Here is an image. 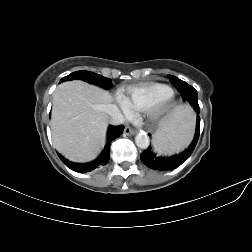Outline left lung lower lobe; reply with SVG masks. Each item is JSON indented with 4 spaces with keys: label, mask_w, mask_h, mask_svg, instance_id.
Instances as JSON below:
<instances>
[{
    "label": "left lung lower lobe",
    "mask_w": 252,
    "mask_h": 252,
    "mask_svg": "<svg viewBox=\"0 0 252 252\" xmlns=\"http://www.w3.org/2000/svg\"><path fill=\"white\" fill-rule=\"evenodd\" d=\"M175 87L181 93L182 98L188 101L197 114H199V105L197 100V91L186 82L176 83ZM200 133V117L197 116V126L194 140L190 144V146L181 154L173 155L170 157H160L158 156L151 146H149L140 156L141 161L149 168L154 170H171L177 168L182 163H184L189 156L192 154ZM150 135V134H149Z\"/></svg>",
    "instance_id": "obj_1"
}]
</instances>
